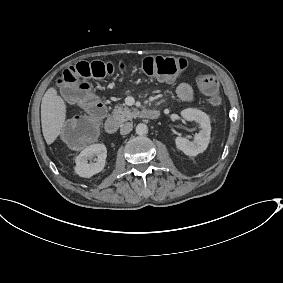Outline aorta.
<instances>
[{"mask_svg": "<svg viewBox=\"0 0 283 283\" xmlns=\"http://www.w3.org/2000/svg\"><path fill=\"white\" fill-rule=\"evenodd\" d=\"M148 132V127L146 124L144 123H139L137 126H136V133L140 136L142 135H145L147 134Z\"/></svg>", "mask_w": 283, "mask_h": 283, "instance_id": "1", "label": "aorta"}]
</instances>
